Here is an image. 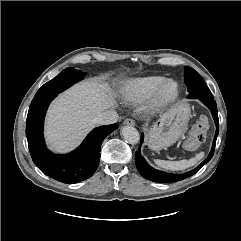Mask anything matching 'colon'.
I'll return each instance as SVG.
<instances>
[{"mask_svg":"<svg viewBox=\"0 0 241 241\" xmlns=\"http://www.w3.org/2000/svg\"><path fill=\"white\" fill-rule=\"evenodd\" d=\"M209 129L208 118L201 117L196 124L192 127L186 141L185 147L188 150H196L204 142L207 131Z\"/></svg>","mask_w":241,"mask_h":241,"instance_id":"colon-1","label":"colon"}]
</instances>
